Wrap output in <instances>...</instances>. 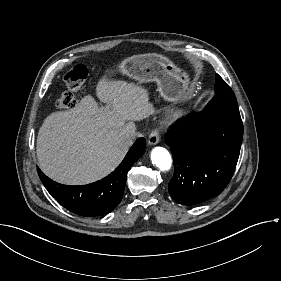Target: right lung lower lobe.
I'll return each mask as SVG.
<instances>
[{
    "instance_id": "98d812e1",
    "label": "right lung lower lobe",
    "mask_w": 281,
    "mask_h": 281,
    "mask_svg": "<svg viewBox=\"0 0 281 281\" xmlns=\"http://www.w3.org/2000/svg\"><path fill=\"white\" fill-rule=\"evenodd\" d=\"M145 151V139L139 138L121 164L107 177L87 185L59 184L38 169L39 177L49 193L66 209L81 216H103L120 203L127 172Z\"/></svg>"
}]
</instances>
